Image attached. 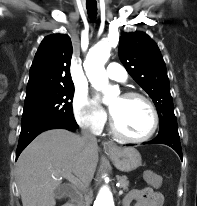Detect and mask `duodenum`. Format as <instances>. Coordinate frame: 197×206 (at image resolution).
Instances as JSON below:
<instances>
[{
  "instance_id": "410a0bca",
  "label": "duodenum",
  "mask_w": 197,
  "mask_h": 206,
  "mask_svg": "<svg viewBox=\"0 0 197 206\" xmlns=\"http://www.w3.org/2000/svg\"><path fill=\"white\" fill-rule=\"evenodd\" d=\"M63 206H73L71 203H66Z\"/></svg>"
}]
</instances>
